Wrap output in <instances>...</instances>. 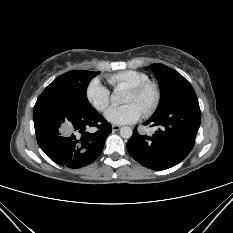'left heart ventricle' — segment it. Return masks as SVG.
<instances>
[{
	"instance_id": "b2bd125f",
	"label": "left heart ventricle",
	"mask_w": 233,
	"mask_h": 233,
	"mask_svg": "<svg viewBox=\"0 0 233 233\" xmlns=\"http://www.w3.org/2000/svg\"><path fill=\"white\" fill-rule=\"evenodd\" d=\"M153 92L151 90H148L144 95L139 96L134 94L131 91H128L125 98L124 103H135L141 107L142 110H144L147 103L152 99Z\"/></svg>"
}]
</instances>
